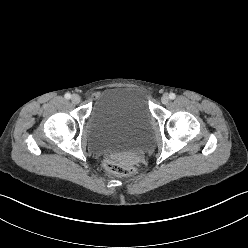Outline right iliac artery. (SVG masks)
<instances>
[{
    "label": "right iliac artery",
    "instance_id": "82829eb1",
    "mask_svg": "<svg viewBox=\"0 0 248 248\" xmlns=\"http://www.w3.org/2000/svg\"><path fill=\"white\" fill-rule=\"evenodd\" d=\"M65 98H66V99H70V98H71V94H70V93H66V94H65Z\"/></svg>",
    "mask_w": 248,
    "mask_h": 248
}]
</instances>
